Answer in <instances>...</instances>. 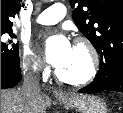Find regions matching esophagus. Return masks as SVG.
<instances>
[{"label": "esophagus", "mask_w": 123, "mask_h": 113, "mask_svg": "<svg viewBox=\"0 0 123 113\" xmlns=\"http://www.w3.org/2000/svg\"><path fill=\"white\" fill-rule=\"evenodd\" d=\"M53 94L56 96L62 95V92L58 91V90H54Z\"/></svg>", "instance_id": "esophagus-1"}]
</instances>
